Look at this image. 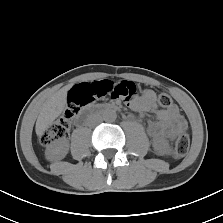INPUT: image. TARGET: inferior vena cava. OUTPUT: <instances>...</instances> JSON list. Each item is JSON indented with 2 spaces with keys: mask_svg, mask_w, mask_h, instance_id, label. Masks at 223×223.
Here are the masks:
<instances>
[{
  "mask_svg": "<svg viewBox=\"0 0 223 223\" xmlns=\"http://www.w3.org/2000/svg\"><path fill=\"white\" fill-rule=\"evenodd\" d=\"M101 122H102V117L99 116V115L94 114L89 118L88 125L89 126H95V125H97Z\"/></svg>",
  "mask_w": 223,
  "mask_h": 223,
  "instance_id": "obj_1",
  "label": "inferior vena cava"
}]
</instances>
